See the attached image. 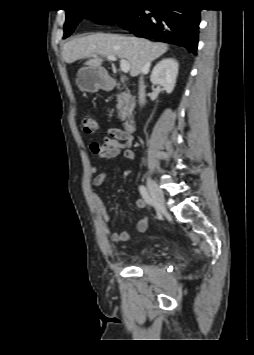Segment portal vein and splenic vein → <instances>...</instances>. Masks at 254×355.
<instances>
[{"label": "portal vein and splenic vein", "mask_w": 254, "mask_h": 355, "mask_svg": "<svg viewBox=\"0 0 254 355\" xmlns=\"http://www.w3.org/2000/svg\"><path fill=\"white\" fill-rule=\"evenodd\" d=\"M107 58L110 61H116L117 60L116 56H114V55L107 56ZM120 69H121L122 72L128 73L129 70H130V63L127 60H125V59L120 60Z\"/></svg>", "instance_id": "1"}]
</instances>
